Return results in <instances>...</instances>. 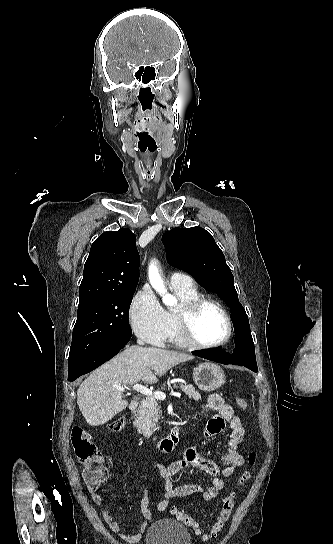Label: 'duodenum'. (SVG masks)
I'll return each mask as SVG.
<instances>
[{"mask_svg": "<svg viewBox=\"0 0 333 544\" xmlns=\"http://www.w3.org/2000/svg\"><path fill=\"white\" fill-rule=\"evenodd\" d=\"M138 404V400L131 401L129 409L131 411H135L138 407ZM182 425L183 423L177 424L167 436L158 439L155 442L156 449L161 452H170L175 449L180 442Z\"/></svg>", "mask_w": 333, "mask_h": 544, "instance_id": "1", "label": "duodenum"}]
</instances>
